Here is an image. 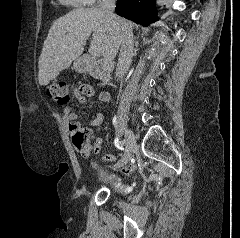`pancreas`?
Segmentation results:
<instances>
[{"label": "pancreas", "mask_w": 240, "mask_h": 238, "mask_svg": "<svg viewBox=\"0 0 240 238\" xmlns=\"http://www.w3.org/2000/svg\"><path fill=\"white\" fill-rule=\"evenodd\" d=\"M99 78H100V79H103V73L99 75Z\"/></svg>", "instance_id": "pancreas-1"}]
</instances>
